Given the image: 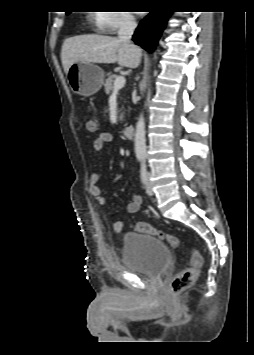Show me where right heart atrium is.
<instances>
[{"label": "right heart atrium", "mask_w": 254, "mask_h": 355, "mask_svg": "<svg viewBox=\"0 0 254 355\" xmlns=\"http://www.w3.org/2000/svg\"><path fill=\"white\" fill-rule=\"evenodd\" d=\"M92 23L99 32L113 34L120 29L133 27L135 19L130 12L125 10H104L94 14Z\"/></svg>", "instance_id": "right-heart-atrium-1"}]
</instances>
